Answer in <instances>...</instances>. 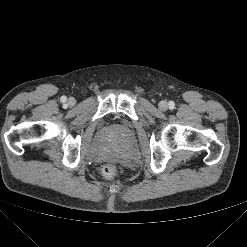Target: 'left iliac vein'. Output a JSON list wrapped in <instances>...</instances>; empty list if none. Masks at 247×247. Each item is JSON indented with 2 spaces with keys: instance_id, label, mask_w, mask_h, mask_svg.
<instances>
[{
  "instance_id": "4c4485c4",
  "label": "left iliac vein",
  "mask_w": 247,
  "mask_h": 247,
  "mask_svg": "<svg viewBox=\"0 0 247 247\" xmlns=\"http://www.w3.org/2000/svg\"><path fill=\"white\" fill-rule=\"evenodd\" d=\"M159 109L162 111H166L168 109V103L166 101H161L159 103Z\"/></svg>"
}]
</instances>
